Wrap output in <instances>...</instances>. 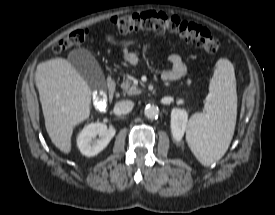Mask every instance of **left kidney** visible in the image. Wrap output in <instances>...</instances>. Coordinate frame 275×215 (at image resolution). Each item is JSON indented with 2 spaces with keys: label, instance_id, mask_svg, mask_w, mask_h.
<instances>
[{
  "label": "left kidney",
  "instance_id": "5707ae66",
  "mask_svg": "<svg viewBox=\"0 0 275 215\" xmlns=\"http://www.w3.org/2000/svg\"><path fill=\"white\" fill-rule=\"evenodd\" d=\"M188 113L182 109H173L171 112V132L176 141H181L187 128Z\"/></svg>",
  "mask_w": 275,
  "mask_h": 215
}]
</instances>
